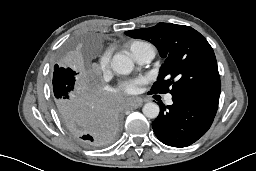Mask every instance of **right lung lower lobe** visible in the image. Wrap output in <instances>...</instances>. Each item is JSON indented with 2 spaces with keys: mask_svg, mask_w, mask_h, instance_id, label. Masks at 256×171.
<instances>
[{
  "mask_svg": "<svg viewBox=\"0 0 256 171\" xmlns=\"http://www.w3.org/2000/svg\"><path fill=\"white\" fill-rule=\"evenodd\" d=\"M57 111L70 134L86 147L111 143L120 129L118 105L93 87Z\"/></svg>",
  "mask_w": 256,
  "mask_h": 171,
  "instance_id": "obj_1",
  "label": "right lung lower lobe"
}]
</instances>
